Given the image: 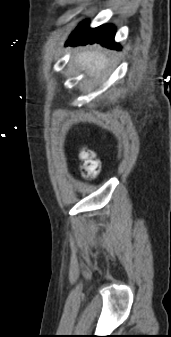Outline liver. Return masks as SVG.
Instances as JSON below:
<instances>
[{"mask_svg":"<svg viewBox=\"0 0 171 337\" xmlns=\"http://www.w3.org/2000/svg\"><path fill=\"white\" fill-rule=\"evenodd\" d=\"M76 63L80 64L83 70H86L91 76L98 78L106 69L109 61L103 53L96 51H84L76 58Z\"/></svg>","mask_w":171,"mask_h":337,"instance_id":"liver-1","label":"liver"}]
</instances>
